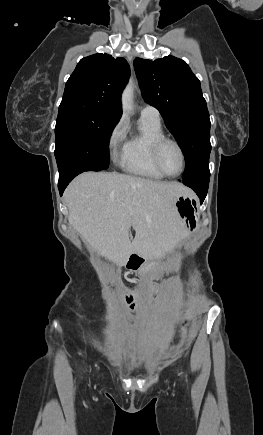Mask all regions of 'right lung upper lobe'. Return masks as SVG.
I'll return each mask as SVG.
<instances>
[{"instance_id":"cb5924a9","label":"right lung upper lobe","mask_w":263,"mask_h":435,"mask_svg":"<svg viewBox=\"0 0 263 435\" xmlns=\"http://www.w3.org/2000/svg\"><path fill=\"white\" fill-rule=\"evenodd\" d=\"M129 76L130 68L124 58L114 59L108 54L85 57L66 82L59 108H92L119 120L121 93Z\"/></svg>"}]
</instances>
